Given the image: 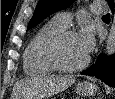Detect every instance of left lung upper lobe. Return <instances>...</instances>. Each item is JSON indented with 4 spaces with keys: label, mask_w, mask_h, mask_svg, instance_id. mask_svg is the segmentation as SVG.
Instances as JSON below:
<instances>
[{
    "label": "left lung upper lobe",
    "mask_w": 115,
    "mask_h": 99,
    "mask_svg": "<svg viewBox=\"0 0 115 99\" xmlns=\"http://www.w3.org/2000/svg\"><path fill=\"white\" fill-rule=\"evenodd\" d=\"M108 1L109 5L114 4L112 0ZM74 0H39L37 7L34 11L33 17L31 18L27 30L37 25L47 16L54 12L60 11L70 6Z\"/></svg>",
    "instance_id": "1"
}]
</instances>
